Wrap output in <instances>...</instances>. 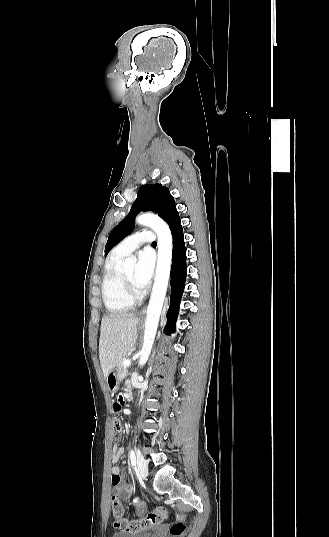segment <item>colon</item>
Here are the masks:
<instances>
[{
	"label": "colon",
	"instance_id": "obj_1",
	"mask_svg": "<svg viewBox=\"0 0 329 537\" xmlns=\"http://www.w3.org/2000/svg\"><path fill=\"white\" fill-rule=\"evenodd\" d=\"M125 405V402H124ZM114 408V405H113ZM123 433L122 423L118 417L113 420V432L112 436L115 441L121 439ZM111 512L115 518L113 523L114 528L118 534L135 535L141 530L158 525L162 523L168 517V513L163 508H158L152 512H149L144 517L139 519H126L124 517V509L121 501L118 497L113 496L111 500ZM187 526L184 523L182 516L177 515L175 521L170 526V535L172 537H182L186 532Z\"/></svg>",
	"mask_w": 329,
	"mask_h": 537
}]
</instances>
